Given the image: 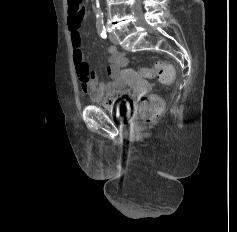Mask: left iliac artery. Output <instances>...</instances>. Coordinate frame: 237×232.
I'll list each match as a JSON object with an SVG mask.
<instances>
[{"label": "left iliac artery", "instance_id": "left-iliac-artery-1", "mask_svg": "<svg viewBox=\"0 0 237 232\" xmlns=\"http://www.w3.org/2000/svg\"><path fill=\"white\" fill-rule=\"evenodd\" d=\"M97 31H98V33L100 34V36L102 38H106L107 37L106 29H105L104 24H102V23L97 24Z\"/></svg>", "mask_w": 237, "mask_h": 232}]
</instances>
